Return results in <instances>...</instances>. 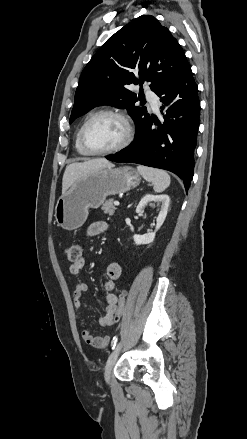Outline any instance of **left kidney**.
<instances>
[{
	"label": "left kidney",
	"mask_w": 247,
	"mask_h": 439,
	"mask_svg": "<svg viewBox=\"0 0 247 439\" xmlns=\"http://www.w3.org/2000/svg\"><path fill=\"white\" fill-rule=\"evenodd\" d=\"M160 202L161 203V210L159 212V215L156 219V228L154 232L144 234V235H134V242L136 245H144V244H150L154 241L156 232L160 229L163 222L165 221V218L167 216L168 207L170 203V198L166 194L161 195H153V194H147L145 195L139 202V204L136 207V213L142 214L144 212L145 207L150 204L153 205V203Z\"/></svg>",
	"instance_id": "1"
}]
</instances>
